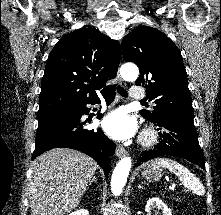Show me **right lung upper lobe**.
Here are the masks:
<instances>
[{"label":"right lung upper lobe","mask_w":221,"mask_h":215,"mask_svg":"<svg viewBox=\"0 0 221 215\" xmlns=\"http://www.w3.org/2000/svg\"><path fill=\"white\" fill-rule=\"evenodd\" d=\"M120 44L94 28L77 29L59 40L46 62L38 118L68 113L114 88Z\"/></svg>","instance_id":"1"}]
</instances>
